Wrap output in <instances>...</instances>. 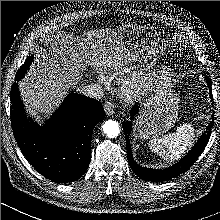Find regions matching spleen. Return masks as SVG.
<instances>
[{"label": "spleen", "mask_w": 220, "mask_h": 220, "mask_svg": "<svg viewBox=\"0 0 220 220\" xmlns=\"http://www.w3.org/2000/svg\"><path fill=\"white\" fill-rule=\"evenodd\" d=\"M194 127L192 124H183L176 133L154 138L149 141L152 152L159 155L166 162L178 160L192 145Z\"/></svg>", "instance_id": "spleen-1"}]
</instances>
